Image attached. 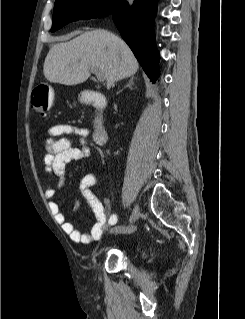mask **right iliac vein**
<instances>
[{
    "label": "right iliac vein",
    "mask_w": 245,
    "mask_h": 319,
    "mask_svg": "<svg viewBox=\"0 0 245 319\" xmlns=\"http://www.w3.org/2000/svg\"><path fill=\"white\" fill-rule=\"evenodd\" d=\"M139 217H140V208H139L138 205H136V206L134 207L133 212H132L131 223L136 222ZM132 228H133V231L136 230V227H135V226H132ZM133 231H132V232H133Z\"/></svg>",
    "instance_id": "63e3f726"
}]
</instances>
